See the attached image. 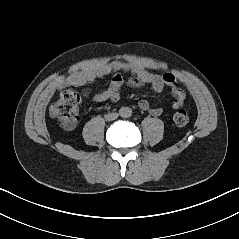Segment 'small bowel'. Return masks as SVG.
I'll list each match as a JSON object with an SVG mask.
<instances>
[{"label": "small bowel", "mask_w": 239, "mask_h": 239, "mask_svg": "<svg viewBox=\"0 0 239 239\" xmlns=\"http://www.w3.org/2000/svg\"><path fill=\"white\" fill-rule=\"evenodd\" d=\"M120 71H126L131 74L125 82L132 87H140L145 84H151L154 90L160 91L165 86H169L174 97L173 108L178 109L183 106L185 100L184 93L180 88H178L176 77L173 74H153L146 71L137 63L113 62L108 65H104L97 70L76 72L71 78L76 82L85 83L87 81H92L98 74L113 72L114 75L110 85L105 90L98 92L95 98L98 101H116L119 98V90L124 83V78L120 74ZM139 105L143 110H149V112L154 116H158L162 112L161 108H150L147 101H141Z\"/></svg>", "instance_id": "c3829d8e"}]
</instances>
